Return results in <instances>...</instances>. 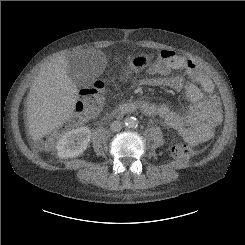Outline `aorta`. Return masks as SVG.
Wrapping results in <instances>:
<instances>
[{"label": "aorta", "mask_w": 245, "mask_h": 245, "mask_svg": "<svg viewBox=\"0 0 245 245\" xmlns=\"http://www.w3.org/2000/svg\"><path fill=\"white\" fill-rule=\"evenodd\" d=\"M126 126L129 128H136L138 126V121L134 117H130L126 120Z\"/></svg>", "instance_id": "aorta-1"}]
</instances>
